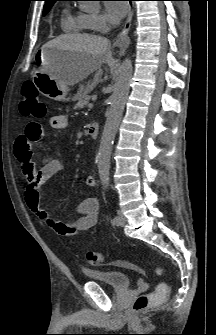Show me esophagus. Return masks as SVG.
<instances>
[{
	"instance_id": "34e87169",
	"label": "esophagus",
	"mask_w": 216,
	"mask_h": 335,
	"mask_svg": "<svg viewBox=\"0 0 216 335\" xmlns=\"http://www.w3.org/2000/svg\"><path fill=\"white\" fill-rule=\"evenodd\" d=\"M133 5H130V10H129V14L127 17V20L125 22V25L122 29V31L118 34L114 45L116 47H119L121 50H125L129 44H130V38L128 36L130 27H131V22H132V18H133Z\"/></svg>"
}]
</instances>
